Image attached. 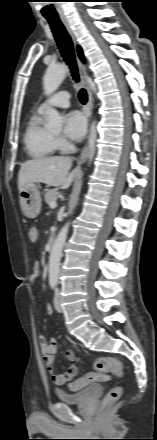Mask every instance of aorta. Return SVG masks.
<instances>
[{
    "mask_svg": "<svg viewBox=\"0 0 157 440\" xmlns=\"http://www.w3.org/2000/svg\"><path fill=\"white\" fill-rule=\"evenodd\" d=\"M67 73V66L63 64L58 65H50L43 78V88L44 93L49 96L53 94L62 81L64 80ZM63 118L59 114V112L50 108L47 110V126L52 130H60L62 128ZM96 140H97V130H96V121H93L90 126V133L88 138V149H89V161L91 162L96 148ZM70 223H66L54 242L52 247L50 257H49V280L51 282H56L59 276L60 270V261L62 257V250L66 242V238L68 235Z\"/></svg>",
    "mask_w": 157,
    "mask_h": 440,
    "instance_id": "1",
    "label": "aorta"
}]
</instances>
